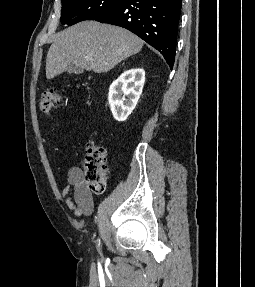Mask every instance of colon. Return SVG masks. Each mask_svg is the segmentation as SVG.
<instances>
[{
  "label": "colon",
  "instance_id": "5ec220e1",
  "mask_svg": "<svg viewBox=\"0 0 255 287\" xmlns=\"http://www.w3.org/2000/svg\"><path fill=\"white\" fill-rule=\"evenodd\" d=\"M61 98L57 90H46L39 99L40 110L44 114L49 115L59 105ZM83 169L87 187L95 193H102L106 188L108 175L104 147L93 142L87 145L83 160Z\"/></svg>",
  "mask_w": 255,
  "mask_h": 287
}]
</instances>
